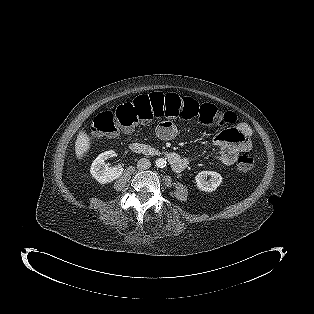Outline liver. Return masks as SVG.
Masks as SVG:
<instances>
[{
	"instance_id": "obj_1",
	"label": "liver",
	"mask_w": 314,
	"mask_h": 314,
	"mask_svg": "<svg viewBox=\"0 0 314 314\" xmlns=\"http://www.w3.org/2000/svg\"><path fill=\"white\" fill-rule=\"evenodd\" d=\"M91 139L84 130H81L75 142V154L78 160L90 149Z\"/></svg>"
}]
</instances>
